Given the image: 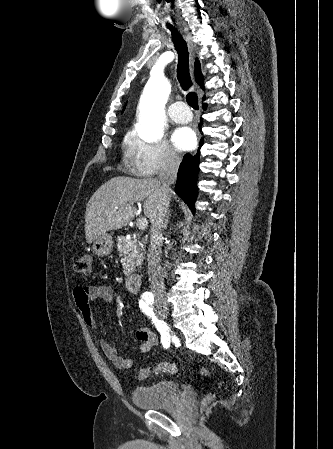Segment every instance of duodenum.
Returning <instances> with one entry per match:
<instances>
[{
	"instance_id": "obj_1",
	"label": "duodenum",
	"mask_w": 333,
	"mask_h": 449,
	"mask_svg": "<svg viewBox=\"0 0 333 449\" xmlns=\"http://www.w3.org/2000/svg\"><path fill=\"white\" fill-rule=\"evenodd\" d=\"M141 275L130 273L125 279V289L130 293H137L141 287Z\"/></svg>"
}]
</instances>
